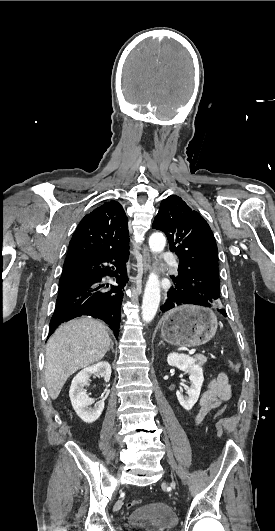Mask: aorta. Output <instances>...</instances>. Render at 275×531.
Masks as SVG:
<instances>
[{
	"label": "aorta",
	"mask_w": 275,
	"mask_h": 531,
	"mask_svg": "<svg viewBox=\"0 0 275 531\" xmlns=\"http://www.w3.org/2000/svg\"><path fill=\"white\" fill-rule=\"evenodd\" d=\"M166 245V239L159 233H153L149 239V249L152 253H161ZM160 303V283L156 273H150L142 301V319L144 323L153 321Z\"/></svg>",
	"instance_id": "762f6f07"
}]
</instances>
